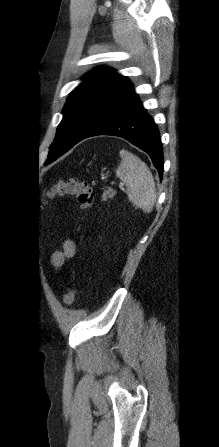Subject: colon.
Returning <instances> with one entry per match:
<instances>
[{
    "label": "colon",
    "mask_w": 219,
    "mask_h": 447,
    "mask_svg": "<svg viewBox=\"0 0 219 447\" xmlns=\"http://www.w3.org/2000/svg\"><path fill=\"white\" fill-rule=\"evenodd\" d=\"M47 196L49 198L73 196L83 210L90 209L94 201V194L91 186L77 178H67L57 181L51 186L47 192ZM76 296L77 290L74 287L66 288L63 298L64 304L67 306L72 305L75 302Z\"/></svg>",
    "instance_id": "obj_1"
}]
</instances>
